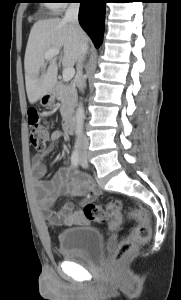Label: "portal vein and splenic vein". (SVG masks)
Wrapping results in <instances>:
<instances>
[{
	"label": "portal vein and splenic vein",
	"mask_w": 181,
	"mask_h": 300,
	"mask_svg": "<svg viewBox=\"0 0 181 300\" xmlns=\"http://www.w3.org/2000/svg\"><path fill=\"white\" fill-rule=\"evenodd\" d=\"M59 54V49H49L44 55L46 60H50L54 56ZM75 75V69L73 67H67L63 70V80L70 81Z\"/></svg>",
	"instance_id": "obj_1"
}]
</instances>
